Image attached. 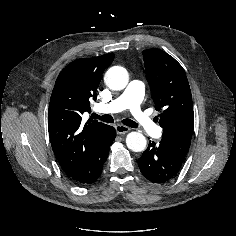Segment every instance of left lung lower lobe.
<instances>
[{
    "label": "left lung lower lobe",
    "instance_id": "1",
    "mask_svg": "<svg viewBox=\"0 0 236 236\" xmlns=\"http://www.w3.org/2000/svg\"><path fill=\"white\" fill-rule=\"evenodd\" d=\"M184 158L162 144L150 142L138 159L142 174L153 183H164L173 178L181 169Z\"/></svg>",
    "mask_w": 236,
    "mask_h": 236
}]
</instances>
